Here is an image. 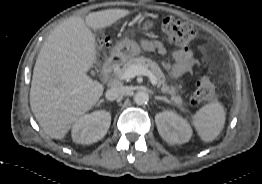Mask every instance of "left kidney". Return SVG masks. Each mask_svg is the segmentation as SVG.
Listing matches in <instances>:
<instances>
[{
  "label": "left kidney",
  "instance_id": "obj_1",
  "mask_svg": "<svg viewBox=\"0 0 262 184\" xmlns=\"http://www.w3.org/2000/svg\"><path fill=\"white\" fill-rule=\"evenodd\" d=\"M155 123L160 136L168 144L186 143L193 134L188 121L173 111L156 114Z\"/></svg>",
  "mask_w": 262,
  "mask_h": 184
}]
</instances>
